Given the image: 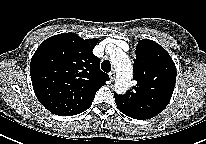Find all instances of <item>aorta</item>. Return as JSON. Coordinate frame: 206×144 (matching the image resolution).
<instances>
[{"label":"aorta","mask_w":206,"mask_h":144,"mask_svg":"<svg viewBox=\"0 0 206 144\" xmlns=\"http://www.w3.org/2000/svg\"><path fill=\"white\" fill-rule=\"evenodd\" d=\"M110 61L116 71L115 91L125 93L133 76L130 58L121 49H115L110 55Z\"/></svg>","instance_id":"obj_1"}]
</instances>
